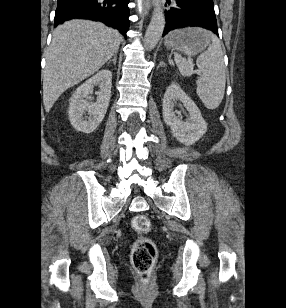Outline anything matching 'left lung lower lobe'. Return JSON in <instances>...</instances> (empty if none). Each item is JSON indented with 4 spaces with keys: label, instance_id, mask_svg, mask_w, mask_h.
Here are the masks:
<instances>
[{
    "label": "left lung lower lobe",
    "instance_id": "1",
    "mask_svg": "<svg viewBox=\"0 0 286 308\" xmlns=\"http://www.w3.org/2000/svg\"><path fill=\"white\" fill-rule=\"evenodd\" d=\"M173 3L174 6L165 12L163 36L177 28L195 26L209 29L219 36L213 0H174Z\"/></svg>",
    "mask_w": 286,
    "mask_h": 308
}]
</instances>
